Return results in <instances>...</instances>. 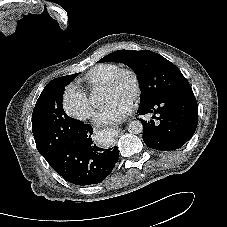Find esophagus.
Masks as SVG:
<instances>
[{
	"mask_svg": "<svg viewBox=\"0 0 227 227\" xmlns=\"http://www.w3.org/2000/svg\"><path fill=\"white\" fill-rule=\"evenodd\" d=\"M116 130H118V128H117V127L110 128V131H116Z\"/></svg>",
	"mask_w": 227,
	"mask_h": 227,
	"instance_id": "34e87169",
	"label": "esophagus"
}]
</instances>
